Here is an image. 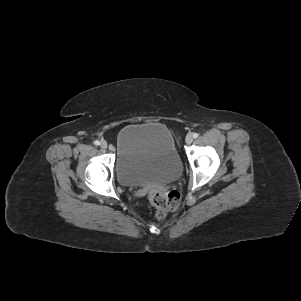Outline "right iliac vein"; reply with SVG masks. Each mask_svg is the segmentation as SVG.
<instances>
[{"label":"right iliac vein","instance_id":"1","mask_svg":"<svg viewBox=\"0 0 301 301\" xmlns=\"http://www.w3.org/2000/svg\"><path fill=\"white\" fill-rule=\"evenodd\" d=\"M107 146H108L107 141L102 140V141L100 142V147H101V148L106 149Z\"/></svg>","mask_w":301,"mask_h":301}]
</instances>
